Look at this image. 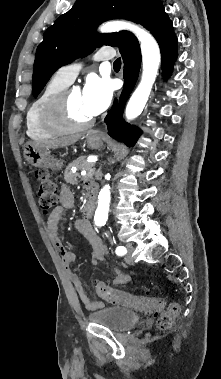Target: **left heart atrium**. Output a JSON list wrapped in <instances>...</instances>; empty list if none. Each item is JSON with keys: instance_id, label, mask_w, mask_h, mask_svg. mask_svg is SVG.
<instances>
[{"instance_id": "1", "label": "left heart atrium", "mask_w": 221, "mask_h": 379, "mask_svg": "<svg viewBox=\"0 0 221 379\" xmlns=\"http://www.w3.org/2000/svg\"><path fill=\"white\" fill-rule=\"evenodd\" d=\"M113 95L112 85L108 79L97 75H90L86 79L82 91L83 104L86 110L96 116L106 110Z\"/></svg>"}]
</instances>
